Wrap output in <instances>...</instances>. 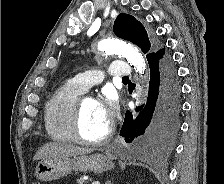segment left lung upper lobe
Returning <instances> with one entry per match:
<instances>
[{"mask_svg": "<svg viewBox=\"0 0 224 184\" xmlns=\"http://www.w3.org/2000/svg\"><path fill=\"white\" fill-rule=\"evenodd\" d=\"M114 33L117 37L128 40L139 46L146 56L155 53L153 49H151V44L145 28L131 15L119 14L117 16L114 22ZM154 46L155 45H153V47Z\"/></svg>", "mask_w": 224, "mask_h": 184, "instance_id": "obj_1", "label": "left lung upper lobe"}]
</instances>
